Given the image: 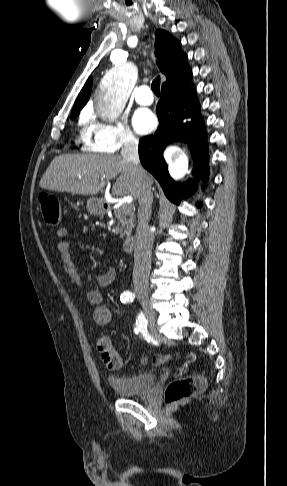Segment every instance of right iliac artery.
<instances>
[{"label":"right iliac artery","instance_id":"obj_1","mask_svg":"<svg viewBox=\"0 0 287 486\" xmlns=\"http://www.w3.org/2000/svg\"><path fill=\"white\" fill-rule=\"evenodd\" d=\"M135 298V295L131 291H125L123 294H121V302L126 303V302H132ZM141 333L143 337L147 340H150V335L147 330V320L143 314V312H140L138 315V318L136 320V328H135V333Z\"/></svg>","mask_w":287,"mask_h":486}]
</instances>
